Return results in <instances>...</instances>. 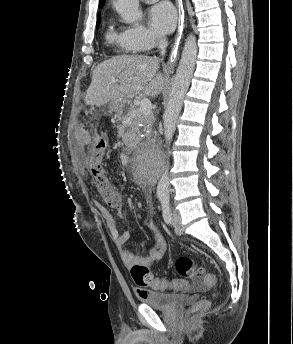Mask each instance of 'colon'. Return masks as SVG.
I'll return each mask as SVG.
<instances>
[{
    "instance_id": "1",
    "label": "colon",
    "mask_w": 293,
    "mask_h": 344,
    "mask_svg": "<svg viewBox=\"0 0 293 344\" xmlns=\"http://www.w3.org/2000/svg\"><path fill=\"white\" fill-rule=\"evenodd\" d=\"M107 148V142L104 138H98L94 142V146L89 156V168L92 172L95 184L103 200L111 207H119L122 203L121 195L116 188L109 181L104 168V155ZM175 269L177 273L187 279H192L197 282L200 278L205 276V270L189 257H180L175 261ZM131 277L139 288L150 287L153 289H188L189 285L184 280H173L158 278L153 275L148 267L144 265H134L130 269ZM209 282H213L214 277L208 275ZM210 307V300H200L195 303L190 313L197 315L206 311Z\"/></svg>"
}]
</instances>
